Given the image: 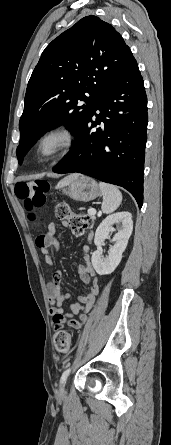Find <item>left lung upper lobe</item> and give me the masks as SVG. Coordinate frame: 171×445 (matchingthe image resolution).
Instances as JSON below:
<instances>
[{"label":"left lung upper lobe","mask_w":171,"mask_h":445,"mask_svg":"<svg viewBox=\"0 0 171 445\" xmlns=\"http://www.w3.org/2000/svg\"><path fill=\"white\" fill-rule=\"evenodd\" d=\"M136 64L122 36L96 16L82 18L54 39L28 82L19 122V163L46 131L60 123L77 136L108 82Z\"/></svg>","instance_id":"left-lung-upper-lobe-1"}]
</instances>
